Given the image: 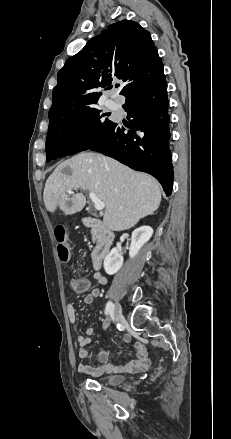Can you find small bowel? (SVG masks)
<instances>
[{"instance_id":"1","label":"small bowel","mask_w":231,"mask_h":439,"mask_svg":"<svg viewBox=\"0 0 231 439\" xmlns=\"http://www.w3.org/2000/svg\"><path fill=\"white\" fill-rule=\"evenodd\" d=\"M94 279L101 285L107 284V278L103 276L100 272L96 271L94 273ZM101 295V291L98 288H93L89 292H87L84 295L83 301L85 304H91L94 299L99 297ZM67 314L70 322L72 324L76 323V309L73 304L69 303L67 305ZM108 326V322H105L103 327L106 328ZM94 333V329L92 327H88L85 331L86 336L83 335H77L76 340L79 345V357L81 359H87L89 358V344L91 342V336ZM131 337L129 334H125L123 336V341L128 343L130 342ZM136 358L132 361H130L127 364L124 365H114L109 362V356L106 350L101 349L99 353V361L100 364L97 366H92L88 364H80L78 366L79 372L85 375L97 377L100 375H103L105 373H124V372H140L144 371L149 367V358L147 349L145 346L140 343L136 342L133 345Z\"/></svg>"}]
</instances>
